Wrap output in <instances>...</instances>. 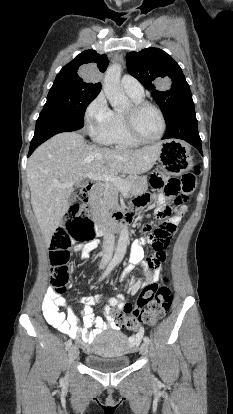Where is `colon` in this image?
Wrapping results in <instances>:
<instances>
[{
    "mask_svg": "<svg viewBox=\"0 0 233 414\" xmlns=\"http://www.w3.org/2000/svg\"><path fill=\"white\" fill-rule=\"evenodd\" d=\"M200 168L195 166L193 171L187 172L181 179L163 177L153 174L150 185L153 189H163L169 197H174L176 206L184 205L195 188L196 177ZM87 196V190L81 189L78 198ZM149 230L148 228L146 229ZM175 230L172 224H164L149 234L153 252L146 259L148 269L154 270L165 259L164 249ZM94 236L93 223L90 220L85 205L82 202L73 204L64 217V226L54 233L50 246L51 285L57 295L62 296L71 276V246L73 243H86ZM173 296L165 279L164 284H151L144 287L134 305L126 303L122 312H111L117 328L137 332L142 325H153L163 318L172 304Z\"/></svg>",
    "mask_w": 233,
    "mask_h": 414,
    "instance_id": "colon-1",
    "label": "colon"
}]
</instances>
